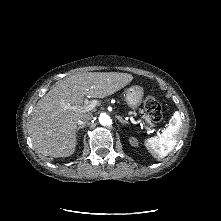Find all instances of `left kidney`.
I'll list each match as a JSON object with an SVG mask.
<instances>
[{
    "label": "left kidney",
    "mask_w": 221,
    "mask_h": 221,
    "mask_svg": "<svg viewBox=\"0 0 221 221\" xmlns=\"http://www.w3.org/2000/svg\"><path fill=\"white\" fill-rule=\"evenodd\" d=\"M130 144H131L132 146H134V147L138 146L137 140H136L135 138H133V137L130 139Z\"/></svg>",
    "instance_id": "left-kidney-1"
}]
</instances>
